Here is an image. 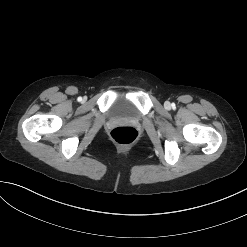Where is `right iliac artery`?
Returning a JSON list of instances; mask_svg holds the SVG:
<instances>
[{"mask_svg":"<svg viewBox=\"0 0 247 247\" xmlns=\"http://www.w3.org/2000/svg\"><path fill=\"white\" fill-rule=\"evenodd\" d=\"M78 101H82V98L81 97H78Z\"/></svg>","mask_w":247,"mask_h":247,"instance_id":"1","label":"right iliac artery"}]
</instances>
